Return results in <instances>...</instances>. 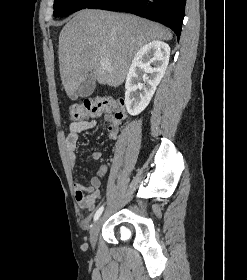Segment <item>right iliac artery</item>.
<instances>
[{"instance_id":"1","label":"right iliac artery","mask_w":247,"mask_h":280,"mask_svg":"<svg viewBox=\"0 0 247 280\" xmlns=\"http://www.w3.org/2000/svg\"><path fill=\"white\" fill-rule=\"evenodd\" d=\"M103 210H104V207L101 206V207L96 211V213H95V215H94V221H96V220L101 216Z\"/></svg>"}]
</instances>
